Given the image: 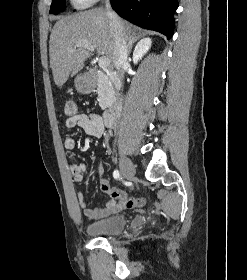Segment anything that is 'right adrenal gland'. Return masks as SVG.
<instances>
[{
    "instance_id": "obj_1",
    "label": "right adrenal gland",
    "mask_w": 247,
    "mask_h": 280,
    "mask_svg": "<svg viewBox=\"0 0 247 280\" xmlns=\"http://www.w3.org/2000/svg\"><path fill=\"white\" fill-rule=\"evenodd\" d=\"M140 39V35H137L135 32L131 34L128 42V54H131L133 49V44Z\"/></svg>"
}]
</instances>
